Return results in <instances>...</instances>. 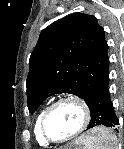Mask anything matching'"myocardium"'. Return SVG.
I'll list each match as a JSON object with an SVG mask.
<instances>
[{
    "label": "myocardium",
    "mask_w": 124,
    "mask_h": 149,
    "mask_svg": "<svg viewBox=\"0 0 124 149\" xmlns=\"http://www.w3.org/2000/svg\"><path fill=\"white\" fill-rule=\"evenodd\" d=\"M64 103H73L79 107L81 114H82V122H81L79 128L73 134H71L67 138L56 140V139L51 138L48 135L47 130H46V122H47V119H48L50 113L56 107H58ZM90 119H91V111H90L89 105L83 99H81L80 97H77V96H65V97L58 99L57 101H55L49 107L46 108L45 112L43 113L41 123H40L41 134H42L43 138L48 143L63 144V143H66V142H69V141L75 139L80 134H82L87 129V127L90 123Z\"/></svg>",
    "instance_id": "myocardium-1"
}]
</instances>
